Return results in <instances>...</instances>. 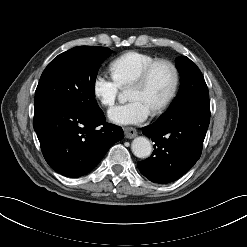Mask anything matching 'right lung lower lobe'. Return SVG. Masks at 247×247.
Segmentation results:
<instances>
[{
	"mask_svg": "<svg viewBox=\"0 0 247 247\" xmlns=\"http://www.w3.org/2000/svg\"><path fill=\"white\" fill-rule=\"evenodd\" d=\"M33 127L49 166L67 177L90 172L123 130L108 125L101 109L85 110L67 101L35 110Z\"/></svg>",
	"mask_w": 247,
	"mask_h": 247,
	"instance_id": "obj_1",
	"label": "right lung lower lobe"
}]
</instances>
